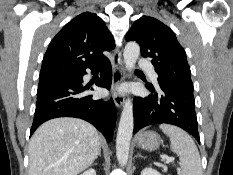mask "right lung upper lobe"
Returning <instances> with one entry per match:
<instances>
[{"label": "right lung upper lobe", "instance_id": "1", "mask_svg": "<svg viewBox=\"0 0 233 175\" xmlns=\"http://www.w3.org/2000/svg\"><path fill=\"white\" fill-rule=\"evenodd\" d=\"M115 47L104 21L85 12L66 24L50 42L44 55L40 79L74 75L107 59L103 51Z\"/></svg>", "mask_w": 233, "mask_h": 175}]
</instances>
